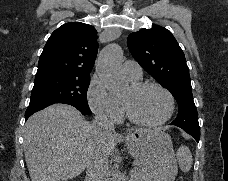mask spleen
Masks as SVG:
<instances>
[{"label": "spleen", "mask_w": 228, "mask_h": 181, "mask_svg": "<svg viewBox=\"0 0 228 181\" xmlns=\"http://www.w3.org/2000/svg\"><path fill=\"white\" fill-rule=\"evenodd\" d=\"M177 159L179 163V167L183 173H188L192 167V155L188 149V147H185V145H182V147H179L177 151Z\"/></svg>", "instance_id": "obj_1"}]
</instances>
